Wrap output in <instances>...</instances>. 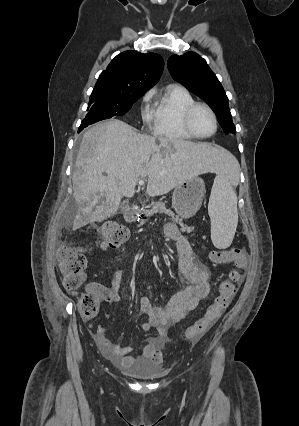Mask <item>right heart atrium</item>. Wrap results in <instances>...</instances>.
<instances>
[{
	"label": "right heart atrium",
	"mask_w": 299,
	"mask_h": 426,
	"mask_svg": "<svg viewBox=\"0 0 299 426\" xmlns=\"http://www.w3.org/2000/svg\"><path fill=\"white\" fill-rule=\"evenodd\" d=\"M151 97H152V93L147 92L142 99L141 117L143 122L146 125H150L154 119L153 111L150 109V106H149Z\"/></svg>",
	"instance_id": "right-heart-atrium-1"
}]
</instances>
